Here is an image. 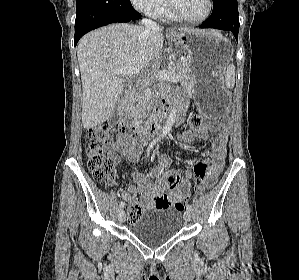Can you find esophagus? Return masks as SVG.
<instances>
[{
    "label": "esophagus",
    "instance_id": "34e87169",
    "mask_svg": "<svg viewBox=\"0 0 299 280\" xmlns=\"http://www.w3.org/2000/svg\"><path fill=\"white\" fill-rule=\"evenodd\" d=\"M167 32H169V33H173V32H174V29H172V28H168V29H167Z\"/></svg>",
    "mask_w": 299,
    "mask_h": 280
}]
</instances>
